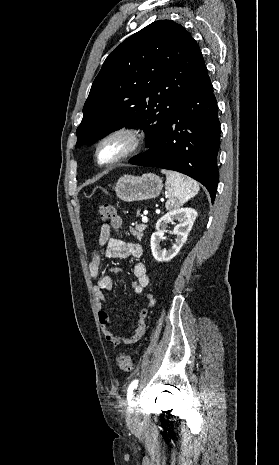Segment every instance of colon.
I'll use <instances>...</instances> for the list:
<instances>
[{"label": "colon", "instance_id": "obj_1", "mask_svg": "<svg viewBox=\"0 0 279 465\" xmlns=\"http://www.w3.org/2000/svg\"><path fill=\"white\" fill-rule=\"evenodd\" d=\"M98 216L102 220L109 221L114 229H118L121 226V217L111 204H100L98 206ZM117 364L123 372H132L134 369V362L126 353H120L117 356Z\"/></svg>", "mask_w": 279, "mask_h": 465}]
</instances>
